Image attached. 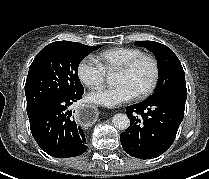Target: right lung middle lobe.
<instances>
[{
    "label": "right lung middle lobe",
    "mask_w": 209,
    "mask_h": 179,
    "mask_svg": "<svg viewBox=\"0 0 209 179\" xmlns=\"http://www.w3.org/2000/svg\"><path fill=\"white\" fill-rule=\"evenodd\" d=\"M99 47L70 41L44 47L30 65L25 84L28 116L55 99L83 93L78 65Z\"/></svg>",
    "instance_id": "1"
}]
</instances>
